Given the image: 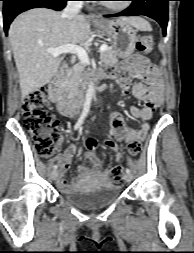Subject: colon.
Returning a JSON list of instances; mask_svg holds the SVG:
<instances>
[{
    "label": "colon",
    "mask_w": 194,
    "mask_h": 253,
    "mask_svg": "<svg viewBox=\"0 0 194 253\" xmlns=\"http://www.w3.org/2000/svg\"><path fill=\"white\" fill-rule=\"evenodd\" d=\"M153 41L150 36H142L137 42V50L141 54H148L152 51ZM48 105V92L45 88L30 92L23 100V124L30 133L35 143L37 153L41 157H49L55 149L60 134L58 130L57 119L46 110ZM87 146L93 148L97 137H87ZM141 150V143L133 141L128 146L130 155L136 156ZM96 159L97 156L94 154ZM123 174V168L120 165L114 166L111 170V179L113 182H120Z\"/></svg>",
    "instance_id": "colon-1"
}]
</instances>
